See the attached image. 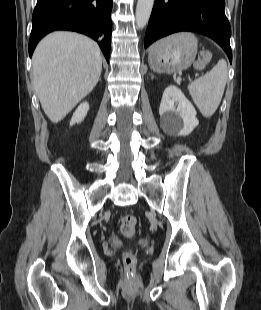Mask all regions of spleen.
<instances>
[{
  "label": "spleen",
  "mask_w": 261,
  "mask_h": 310,
  "mask_svg": "<svg viewBox=\"0 0 261 310\" xmlns=\"http://www.w3.org/2000/svg\"><path fill=\"white\" fill-rule=\"evenodd\" d=\"M227 74V63L221 59L211 71L188 85L195 105L205 118H210L217 110L225 90Z\"/></svg>",
  "instance_id": "spleen-1"
}]
</instances>
